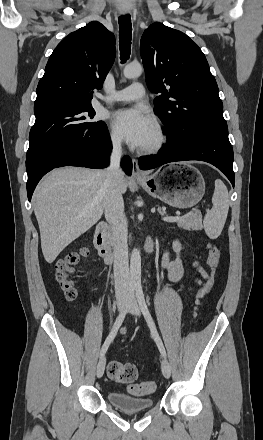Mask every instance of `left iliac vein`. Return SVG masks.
<instances>
[{
    "mask_svg": "<svg viewBox=\"0 0 263 440\" xmlns=\"http://www.w3.org/2000/svg\"><path fill=\"white\" fill-rule=\"evenodd\" d=\"M129 312L136 316L139 317L140 316V312H139V307L137 304V301L135 300V298L133 297L130 307H129ZM161 369H162V373L166 378H169L171 375V366L170 363L168 362V360L166 358H163L161 361Z\"/></svg>",
    "mask_w": 263,
    "mask_h": 440,
    "instance_id": "1",
    "label": "left iliac vein"
}]
</instances>
